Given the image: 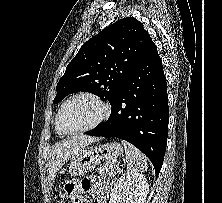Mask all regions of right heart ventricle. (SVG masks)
Masks as SVG:
<instances>
[{"label": "right heart ventricle", "instance_id": "right-heart-ventricle-1", "mask_svg": "<svg viewBox=\"0 0 222 203\" xmlns=\"http://www.w3.org/2000/svg\"><path fill=\"white\" fill-rule=\"evenodd\" d=\"M55 128H56L57 134H59V135H62V134H63L62 132H60V131L58 130V128H57V126H56V121H55Z\"/></svg>", "mask_w": 222, "mask_h": 203}]
</instances>
